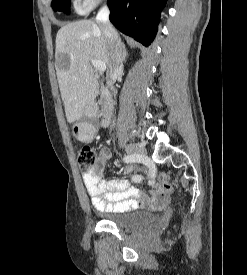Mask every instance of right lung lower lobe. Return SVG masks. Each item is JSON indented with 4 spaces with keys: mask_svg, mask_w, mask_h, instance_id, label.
<instances>
[{
    "mask_svg": "<svg viewBox=\"0 0 247 275\" xmlns=\"http://www.w3.org/2000/svg\"><path fill=\"white\" fill-rule=\"evenodd\" d=\"M167 0H108L110 21L144 46L153 41Z\"/></svg>",
    "mask_w": 247,
    "mask_h": 275,
    "instance_id": "98d812e1",
    "label": "right lung lower lobe"
}]
</instances>
